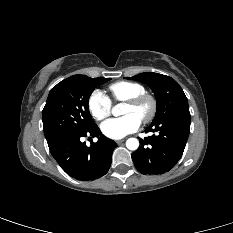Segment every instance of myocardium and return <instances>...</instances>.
<instances>
[{
	"instance_id": "f54148a6",
	"label": "myocardium",
	"mask_w": 233,
	"mask_h": 233,
	"mask_svg": "<svg viewBox=\"0 0 233 233\" xmlns=\"http://www.w3.org/2000/svg\"><path fill=\"white\" fill-rule=\"evenodd\" d=\"M143 103H148L150 105V110L147 115H145L142 119L141 122L143 123H149L151 122L156 114H157V109H158V104L156 98L148 93H143L141 95H138L136 97H133L127 101H125V104L131 106V107H138L142 105Z\"/></svg>"
}]
</instances>
